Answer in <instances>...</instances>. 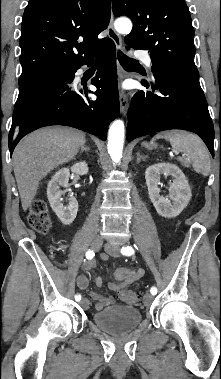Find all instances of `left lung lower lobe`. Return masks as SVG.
Here are the masks:
<instances>
[{
  "instance_id": "0a47b994",
  "label": "left lung lower lobe",
  "mask_w": 221,
  "mask_h": 379,
  "mask_svg": "<svg viewBox=\"0 0 221 379\" xmlns=\"http://www.w3.org/2000/svg\"><path fill=\"white\" fill-rule=\"evenodd\" d=\"M152 72L155 83L142 84L147 88L150 85L158 93L140 90L133 95L128 110L127 140L169 129L189 130L198 134L214 155V128L199 77L156 66H152Z\"/></svg>"
}]
</instances>
